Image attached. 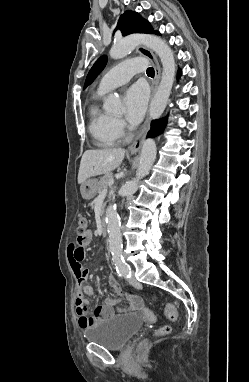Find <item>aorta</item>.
<instances>
[{"label": "aorta", "instance_id": "obj_1", "mask_svg": "<svg viewBox=\"0 0 249 382\" xmlns=\"http://www.w3.org/2000/svg\"><path fill=\"white\" fill-rule=\"evenodd\" d=\"M144 44L152 49L162 63V76L158 89L150 103L149 114L151 119H158L169 100L175 78L176 64L172 49L161 38L153 35H131L115 42L110 49V57L121 59L129 54L138 44ZM120 98L117 94H110L104 103V109L109 112L118 111ZM156 159V144L153 139H146L143 143L136 176L128 181L119 190V195L129 196L138 189L139 181L145 177ZM106 223L109 235V248L113 255L121 256L122 235L120 230V217L116 211V205H110L106 210Z\"/></svg>", "mask_w": 249, "mask_h": 382}]
</instances>
